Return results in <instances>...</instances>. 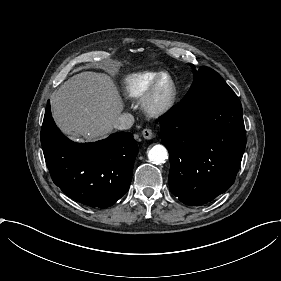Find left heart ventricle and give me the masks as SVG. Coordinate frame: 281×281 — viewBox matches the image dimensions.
<instances>
[{"instance_id":"obj_1","label":"left heart ventricle","mask_w":281,"mask_h":281,"mask_svg":"<svg viewBox=\"0 0 281 281\" xmlns=\"http://www.w3.org/2000/svg\"><path fill=\"white\" fill-rule=\"evenodd\" d=\"M170 82L168 80H165L159 87L158 89V97L159 98H164L167 96V94L170 91Z\"/></svg>"}]
</instances>
